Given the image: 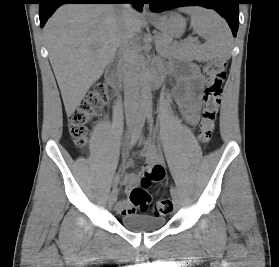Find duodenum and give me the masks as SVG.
I'll return each mask as SVG.
<instances>
[{"label": "duodenum", "instance_id": "duodenum-1", "mask_svg": "<svg viewBox=\"0 0 279 267\" xmlns=\"http://www.w3.org/2000/svg\"><path fill=\"white\" fill-rule=\"evenodd\" d=\"M107 79L119 90L123 89L124 83L119 65H112L107 72ZM159 80L158 74H150L144 78L145 83H153Z\"/></svg>", "mask_w": 279, "mask_h": 267}]
</instances>
